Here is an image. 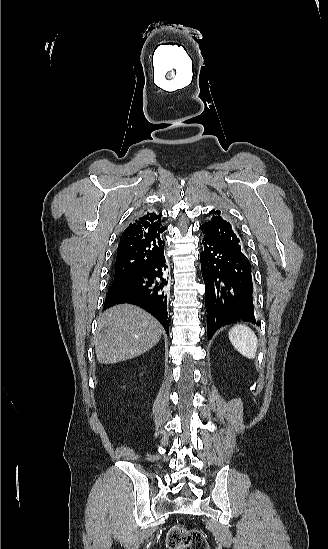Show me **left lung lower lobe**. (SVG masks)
<instances>
[{"instance_id":"left-lung-lower-lobe-1","label":"left lung lower lobe","mask_w":328,"mask_h":549,"mask_svg":"<svg viewBox=\"0 0 328 549\" xmlns=\"http://www.w3.org/2000/svg\"><path fill=\"white\" fill-rule=\"evenodd\" d=\"M200 254L205 283L207 335L227 324L254 316V290L248 258L236 249L204 236Z\"/></svg>"}]
</instances>
